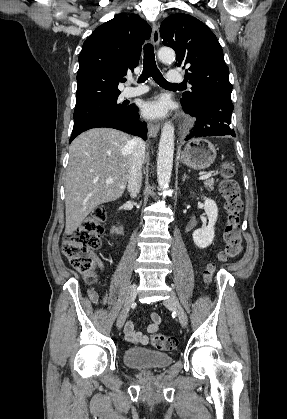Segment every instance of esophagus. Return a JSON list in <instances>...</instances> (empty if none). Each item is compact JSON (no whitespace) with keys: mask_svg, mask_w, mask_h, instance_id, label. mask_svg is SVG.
<instances>
[{"mask_svg":"<svg viewBox=\"0 0 287 419\" xmlns=\"http://www.w3.org/2000/svg\"><path fill=\"white\" fill-rule=\"evenodd\" d=\"M151 40H152V43L156 46L159 45V43H160V33H159V28L156 25V23L152 24ZM159 131H160V123L159 122L148 124V133L151 137H153V138L156 137L158 135Z\"/></svg>","mask_w":287,"mask_h":419,"instance_id":"34e87169","label":"esophagus"}]
</instances>
